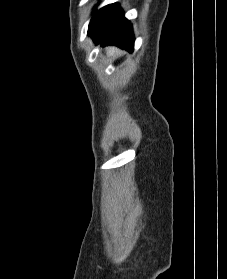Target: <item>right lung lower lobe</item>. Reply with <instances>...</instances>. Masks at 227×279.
Here are the masks:
<instances>
[{"label": "right lung lower lobe", "instance_id": "98d812e1", "mask_svg": "<svg viewBox=\"0 0 227 279\" xmlns=\"http://www.w3.org/2000/svg\"><path fill=\"white\" fill-rule=\"evenodd\" d=\"M88 34L96 44L117 45L133 51L135 39L132 24L124 17V12L117 3L107 5L93 14Z\"/></svg>", "mask_w": 227, "mask_h": 279}]
</instances>
